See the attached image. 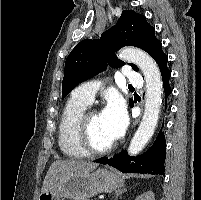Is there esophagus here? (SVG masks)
Segmentation results:
<instances>
[{"instance_id": "obj_1", "label": "esophagus", "mask_w": 201, "mask_h": 200, "mask_svg": "<svg viewBox=\"0 0 201 200\" xmlns=\"http://www.w3.org/2000/svg\"><path fill=\"white\" fill-rule=\"evenodd\" d=\"M138 121H139V119H137L135 123L137 124V123H138Z\"/></svg>"}]
</instances>
